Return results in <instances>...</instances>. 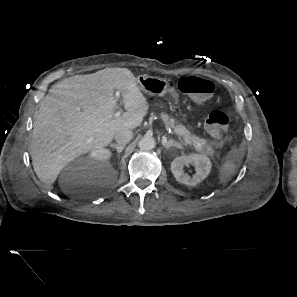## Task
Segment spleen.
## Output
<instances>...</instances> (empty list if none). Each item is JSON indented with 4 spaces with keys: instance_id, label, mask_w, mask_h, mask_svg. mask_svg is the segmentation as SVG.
I'll list each match as a JSON object with an SVG mask.
<instances>
[{
    "instance_id": "spleen-1",
    "label": "spleen",
    "mask_w": 297,
    "mask_h": 297,
    "mask_svg": "<svg viewBox=\"0 0 297 297\" xmlns=\"http://www.w3.org/2000/svg\"><path fill=\"white\" fill-rule=\"evenodd\" d=\"M236 170V165L234 161L230 158H227L221 165V168L219 170V182L224 183L226 182L234 173Z\"/></svg>"
}]
</instances>
